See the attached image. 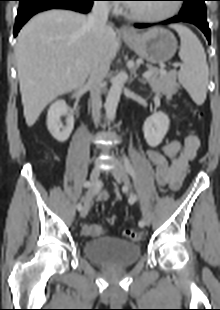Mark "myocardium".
I'll return each instance as SVG.
<instances>
[{"label":"myocardium","instance_id":"f54148a6","mask_svg":"<svg viewBox=\"0 0 220 310\" xmlns=\"http://www.w3.org/2000/svg\"><path fill=\"white\" fill-rule=\"evenodd\" d=\"M179 9L180 8L177 4H171L168 11L162 15H159V16H147L144 14H140V13L131 11L130 9L127 11V14L133 20H136L139 22L159 23V22H163V21L168 20L171 17L175 16L179 12Z\"/></svg>","mask_w":220,"mask_h":310}]
</instances>
